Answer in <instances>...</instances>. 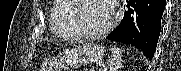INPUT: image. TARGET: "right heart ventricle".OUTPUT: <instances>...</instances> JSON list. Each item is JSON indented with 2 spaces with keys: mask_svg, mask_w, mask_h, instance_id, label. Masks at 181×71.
<instances>
[{
  "mask_svg": "<svg viewBox=\"0 0 181 71\" xmlns=\"http://www.w3.org/2000/svg\"><path fill=\"white\" fill-rule=\"evenodd\" d=\"M71 3L65 0L54 1L51 10V29L52 32L65 39L78 38L71 25Z\"/></svg>",
  "mask_w": 181,
  "mask_h": 71,
  "instance_id": "right-heart-ventricle-1",
  "label": "right heart ventricle"
}]
</instances>
